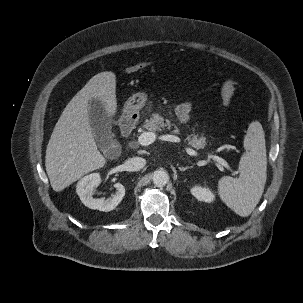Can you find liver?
<instances>
[{
    "label": "liver",
    "mask_w": 303,
    "mask_h": 303,
    "mask_svg": "<svg viewBox=\"0 0 303 303\" xmlns=\"http://www.w3.org/2000/svg\"><path fill=\"white\" fill-rule=\"evenodd\" d=\"M99 101L111 119L117 110L116 76L105 71L93 76L62 112L46 149V172L60 192L83 175L105 166L90 125V101Z\"/></svg>",
    "instance_id": "liver-1"
}]
</instances>
